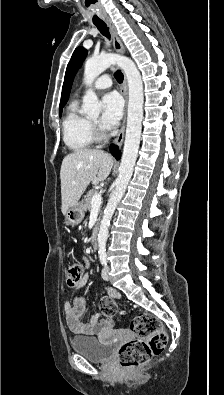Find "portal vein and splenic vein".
Returning a JSON list of instances; mask_svg holds the SVG:
<instances>
[{
	"mask_svg": "<svg viewBox=\"0 0 224 395\" xmlns=\"http://www.w3.org/2000/svg\"><path fill=\"white\" fill-rule=\"evenodd\" d=\"M101 203H102L101 193L94 195L92 198V207H99Z\"/></svg>",
	"mask_w": 224,
	"mask_h": 395,
	"instance_id": "obj_1",
	"label": "portal vein and splenic vein"
}]
</instances>
